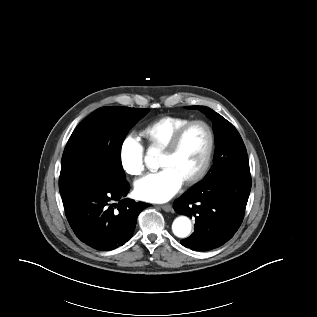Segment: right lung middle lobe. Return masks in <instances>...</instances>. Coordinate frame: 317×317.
Masks as SVG:
<instances>
[{"instance_id":"obj_1","label":"right lung middle lobe","mask_w":317,"mask_h":317,"mask_svg":"<svg viewBox=\"0 0 317 317\" xmlns=\"http://www.w3.org/2000/svg\"><path fill=\"white\" fill-rule=\"evenodd\" d=\"M149 109L109 106L88 115L71 135L61 161L59 190L64 194L81 180L112 173L125 178L121 147L128 131Z\"/></svg>"}]
</instances>
